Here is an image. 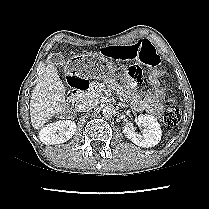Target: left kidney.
<instances>
[{"mask_svg": "<svg viewBox=\"0 0 209 209\" xmlns=\"http://www.w3.org/2000/svg\"><path fill=\"white\" fill-rule=\"evenodd\" d=\"M137 123L144 128L142 135H138L135 132L132 124L127 123L123 126V133L134 144L140 147L149 148L160 142L162 131L160 124L154 116L140 114L138 116Z\"/></svg>", "mask_w": 209, "mask_h": 209, "instance_id": "1", "label": "left kidney"}]
</instances>
